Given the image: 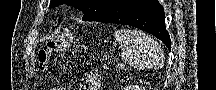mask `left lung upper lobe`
<instances>
[{"mask_svg": "<svg viewBox=\"0 0 216 90\" xmlns=\"http://www.w3.org/2000/svg\"><path fill=\"white\" fill-rule=\"evenodd\" d=\"M127 0H51L49 7L73 6L84 13L83 21H93L103 13L123 5Z\"/></svg>", "mask_w": 216, "mask_h": 90, "instance_id": "5c2ea615", "label": "left lung upper lobe"}]
</instances>
